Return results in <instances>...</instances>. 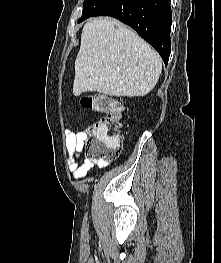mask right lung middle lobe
Listing matches in <instances>:
<instances>
[{
	"label": "right lung middle lobe",
	"instance_id": "1",
	"mask_svg": "<svg viewBox=\"0 0 221 263\" xmlns=\"http://www.w3.org/2000/svg\"><path fill=\"white\" fill-rule=\"evenodd\" d=\"M106 1L108 0H84L82 16L78 23L91 17Z\"/></svg>",
	"mask_w": 221,
	"mask_h": 263
}]
</instances>
